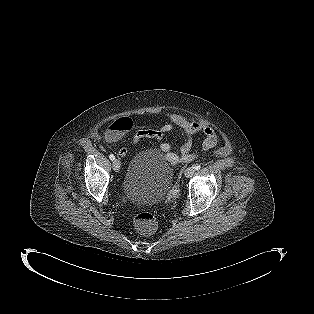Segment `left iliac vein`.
<instances>
[{"label":"left iliac vein","mask_w":314,"mask_h":314,"mask_svg":"<svg viewBox=\"0 0 314 314\" xmlns=\"http://www.w3.org/2000/svg\"><path fill=\"white\" fill-rule=\"evenodd\" d=\"M194 172H195V169H194V167H192V166H190V167H188L186 170H185V177L186 178H190L193 174H194Z\"/></svg>","instance_id":"4c4485c4"}]
</instances>
